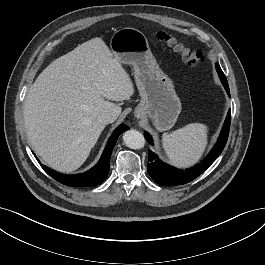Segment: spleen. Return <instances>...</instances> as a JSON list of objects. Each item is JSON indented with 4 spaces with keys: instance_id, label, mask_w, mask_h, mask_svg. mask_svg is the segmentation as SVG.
Returning <instances> with one entry per match:
<instances>
[{
    "instance_id": "obj_1",
    "label": "spleen",
    "mask_w": 265,
    "mask_h": 265,
    "mask_svg": "<svg viewBox=\"0 0 265 265\" xmlns=\"http://www.w3.org/2000/svg\"><path fill=\"white\" fill-rule=\"evenodd\" d=\"M205 124L191 123L162 135L163 148L171 163L179 167L195 164L202 157L208 143Z\"/></svg>"
}]
</instances>
